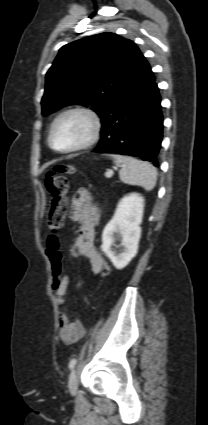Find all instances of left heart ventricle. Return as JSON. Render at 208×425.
Returning <instances> with one entry per match:
<instances>
[{
    "label": "left heart ventricle",
    "instance_id": "obj_1",
    "mask_svg": "<svg viewBox=\"0 0 208 425\" xmlns=\"http://www.w3.org/2000/svg\"><path fill=\"white\" fill-rule=\"evenodd\" d=\"M91 131L90 121L73 114L62 119L53 134V145L59 149L70 148L84 142Z\"/></svg>",
    "mask_w": 208,
    "mask_h": 425
}]
</instances>
